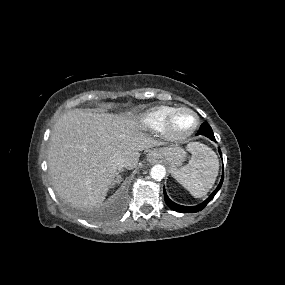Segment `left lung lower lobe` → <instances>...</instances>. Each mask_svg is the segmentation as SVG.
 I'll use <instances>...</instances> for the list:
<instances>
[{"label":"left lung lower lobe","mask_w":285,"mask_h":285,"mask_svg":"<svg viewBox=\"0 0 285 285\" xmlns=\"http://www.w3.org/2000/svg\"><path fill=\"white\" fill-rule=\"evenodd\" d=\"M198 134L204 135V136L208 137L209 139L215 141L213 131H212V129L208 123H203L200 126ZM219 153L222 156L220 149H219ZM223 178H224V174L222 173L221 181H220L218 187L215 189V191L204 202H202L201 204H199L197 206L188 207V206H182V205H178V204L174 203L173 201H171L168 198V196L165 192V189H164L165 202L171 209H173L177 212H198V211L202 210L208 204V202L215 196V194L218 192V190L220 189V187L222 185Z\"/></svg>","instance_id":"1"}]
</instances>
